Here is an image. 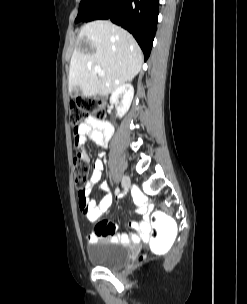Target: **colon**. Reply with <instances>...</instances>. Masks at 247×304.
Wrapping results in <instances>:
<instances>
[{"label": "colon", "mask_w": 247, "mask_h": 304, "mask_svg": "<svg viewBox=\"0 0 247 304\" xmlns=\"http://www.w3.org/2000/svg\"><path fill=\"white\" fill-rule=\"evenodd\" d=\"M105 102L96 97L79 98L70 104L69 119L76 132L78 127L88 118L103 119L105 117ZM76 147V145H75ZM84 155V154H83ZM75 186L79 196L84 193L89 174V162H78V156L73 158ZM151 237H148L147 253H170L176 235L175 220L165 210H152ZM141 260V258H140Z\"/></svg>", "instance_id": "obj_1"}]
</instances>
